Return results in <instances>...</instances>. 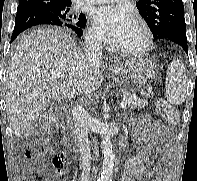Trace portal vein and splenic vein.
<instances>
[{
    "label": "portal vein and splenic vein",
    "instance_id": "18ae733b",
    "mask_svg": "<svg viewBox=\"0 0 197 181\" xmlns=\"http://www.w3.org/2000/svg\"><path fill=\"white\" fill-rule=\"evenodd\" d=\"M52 77H54V78H63V77H65V75L62 72L58 71V72L52 73ZM68 80H69V82H72L71 78H68ZM126 106H127V104L125 102H121L120 103V108L121 109L125 108Z\"/></svg>",
    "mask_w": 197,
    "mask_h": 181
}]
</instances>
